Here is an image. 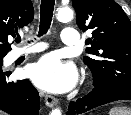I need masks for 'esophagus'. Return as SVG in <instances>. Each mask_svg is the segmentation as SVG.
I'll list each match as a JSON object with an SVG mask.
<instances>
[{
    "mask_svg": "<svg viewBox=\"0 0 131 115\" xmlns=\"http://www.w3.org/2000/svg\"><path fill=\"white\" fill-rule=\"evenodd\" d=\"M58 103V100L51 96V95H46L45 96V104L48 106V107H54L55 105H57Z\"/></svg>",
    "mask_w": 131,
    "mask_h": 115,
    "instance_id": "1",
    "label": "esophagus"
}]
</instances>
